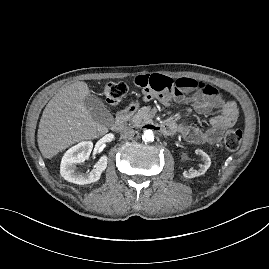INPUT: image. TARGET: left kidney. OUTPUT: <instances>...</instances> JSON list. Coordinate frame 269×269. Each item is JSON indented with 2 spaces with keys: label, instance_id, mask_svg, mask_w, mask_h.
Masks as SVG:
<instances>
[{
  "label": "left kidney",
  "instance_id": "5707ae66",
  "mask_svg": "<svg viewBox=\"0 0 269 269\" xmlns=\"http://www.w3.org/2000/svg\"><path fill=\"white\" fill-rule=\"evenodd\" d=\"M195 153L202 157V159L204 161V164L203 165L201 164L199 166L200 168L198 170H194L192 172L184 171L183 172V177L184 178H195V177H198L200 175H203L211 165V159H210L209 155L206 154L203 150L196 149Z\"/></svg>",
  "mask_w": 269,
  "mask_h": 269
}]
</instances>
